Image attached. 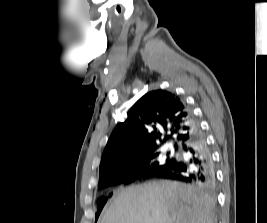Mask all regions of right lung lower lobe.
<instances>
[{"label": "right lung lower lobe", "instance_id": "1", "mask_svg": "<svg viewBox=\"0 0 267 223\" xmlns=\"http://www.w3.org/2000/svg\"><path fill=\"white\" fill-rule=\"evenodd\" d=\"M154 177L199 184L211 188L215 183L214 165L206 140L197 125V133L180 147V155L171 166ZM130 177H119L111 185L128 184ZM108 187V186H103Z\"/></svg>", "mask_w": 267, "mask_h": 223}]
</instances>
